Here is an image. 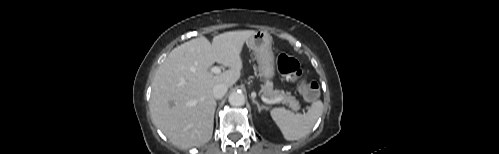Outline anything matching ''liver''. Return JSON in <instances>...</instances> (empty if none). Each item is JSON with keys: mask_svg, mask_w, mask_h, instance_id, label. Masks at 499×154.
Segmentation results:
<instances>
[{"mask_svg": "<svg viewBox=\"0 0 499 154\" xmlns=\"http://www.w3.org/2000/svg\"><path fill=\"white\" fill-rule=\"evenodd\" d=\"M253 30L198 37L174 48L159 66L153 82L150 111L154 124L171 143L181 147L207 143L213 133L216 100L213 87H232L243 67L241 53ZM229 69L213 74L211 66Z\"/></svg>", "mask_w": 499, "mask_h": 154, "instance_id": "1", "label": "liver"}]
</instances>
